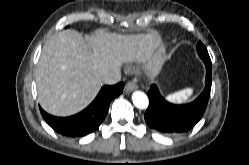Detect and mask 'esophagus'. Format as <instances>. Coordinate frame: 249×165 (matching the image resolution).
<instances>
[{"mask_svg": "<svg viewBox=\"0 0 249 165\" xmlns=\"http://www.w3.org/2000/svg\"><path fill=\"white\" fill-rule=\"evenodd\" d=\"M136 88H137V85L132 81H129L125 85V91L126 92H131V91L135 90Z\"/></svg>", "mask_w": 249, "mask_h": 165, "instance_id": "34e87169", "label": "esophagus"}]
</instances>
